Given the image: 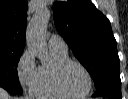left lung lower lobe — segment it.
Wrapping results in <instances>:
<instances>
[{
  "label": "left lung lower lobe",
  "mask_w": 128,
  "mask_h": 99,
  "mask_svg": "<svg viewBox=\"0 0 128 99\" xmlns=\"http://www.w3.org/2000/svg\"><path fill=\"white\" fill-rule=\"evenodd\" d=\"M93 97H107L110 99H122L121 97V80L120 77H110L103 80L98 87Z\"/></svg>",
  "instance_id": "0a47b994"
}]
</instances>
